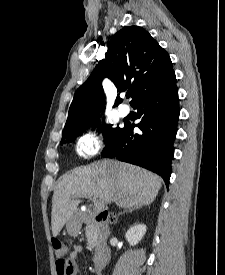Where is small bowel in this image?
I'll list each match as a JSON object with an SVG mask.
<instances>
[{
	"label": "small bowel",
	"mask_w": 225,
	"mask_h": 275,
	"mask_svg": "<svg viewBox=\"0 0 225 275\" xmlns=\"http://www.w3.org/2000/svg\"><path fill=\"white\" fill-rule=\"evenodd\" d=\"M82 249L83 248L81 245H76V246H74L73 250L69 254L68 263L72 269L69 275L77 274V272H78V258L82 252Z\"/></svg>",
	"instance_id": "obj_1"
}]
</instances>
